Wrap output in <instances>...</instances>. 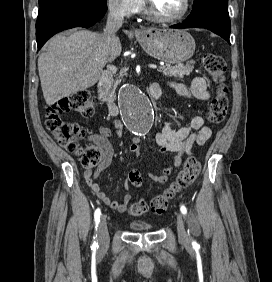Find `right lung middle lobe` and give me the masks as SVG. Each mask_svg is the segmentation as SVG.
<instances>
[{
	"mask_svg": "<svg viewBox=\"0 0 272 282\" xmlns=\"http://www.w3.org/2000/svg\"><path fill=\"white\" fill-rule=\"evenodd\" d=\"M54 1V0H39V5L42 6L43 4ZM87 1H94V2H99V3H107V0H87Z\"/></svg>",
	"mask_w": 272,
	"mask_h": 282,
	"instance_id": "dd1d6c3e",
	"label": "right lung middle lobe"
}]
</instances>
